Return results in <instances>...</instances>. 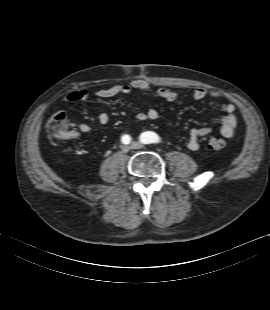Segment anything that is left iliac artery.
Wrapping results in <instances>:
<instances>
[{"label":"left iliac artery","instance_id":"44dca946","mask_svg":"<svg viewBox=\"0 0 270 310\" xmlns=\"http://www.w3.org/2000/svg\"><path fill=\"white\" fill-rule=\"evenodd\" d=\"M140 141L144 144L159 143L160 137L156 133L148 131L141 134Z\"/></svg>","mask_w":270,"mask_h":310}]
</instances>
